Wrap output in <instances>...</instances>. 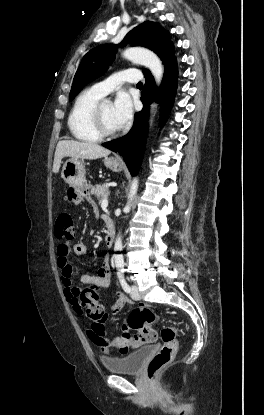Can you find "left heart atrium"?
Wrapping results in <instances>:
<instances>
[{
  "mask_svg": "<svg viewBox=\"0 0 264 415\" xmlns=\"http://www.w3.org/2000/svg\"><path fill=\"white\" fill-rule=\"evenodd\" d=\"M133 106L129 95L125 92H120L112 106V115L114 122L118 129L126 126L132 118Z\"/></svg>",
  "mask_w": 264,
  "mask_h": 415,
  "instance_id": "39dd6f15",
  "label": "left heart atrium"
}]
</instances>
